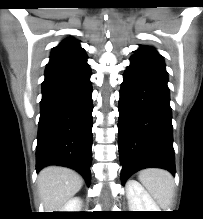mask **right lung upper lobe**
<instances>
[{"label": "right lung upper lobe", "mask_w": 203, "mask_h": 219, "mask_svg": "<svg viewBox=\"0 0 203 219\" xmlns=\"http://www.w3.org/2000/svg\"><path fill=\"white\" fill-rule=\"evenodd\" d=\"M87 58L79 41L75 39H66L52 50L49 64L59 62L77 61Z\"/></svg>", "instance_id": "cb5924a9"}]
</instances>
